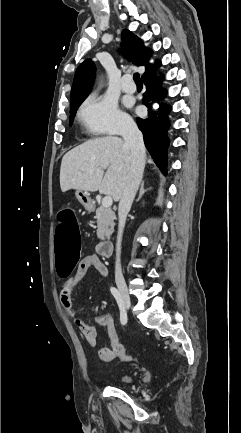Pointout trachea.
<instances>
[{"label":"trachea","mask_w":241,"mask_h":433,"mask_svg":"<svg viewBox=\"0 0 241 433\" xmlns=\"http://www.w3.org/2000/svg\"><path fill=\"white\" fill-rule=\"evenodd\" d=\"M133 78H134V81L137 85H142V81L140 79L139 73H134Z\"/></svg>","instance_id":"1"}]
</instances>
